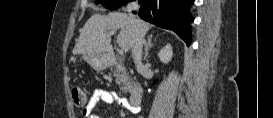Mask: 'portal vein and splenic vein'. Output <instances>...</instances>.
Returning <instances> with one entry per match:
<instances>
[{"mask_svg":"<svg viewBox=\"0 0 273 118\" xmlns=\"http://www.w3.org/2000/svg\"><path fill=\"white\" fill-rule=\"evenodd\" d=\"M114 32H115L114 30L111 31V34H114ZM120 47H121V46H120ZM118 52H119V53H123V48L121 47V48L118 50Z\"/></svg>","mask_w":273,"mask_h":118,"instance_id":"portal-vein-and-splenic-vein-1","label":"portal vein and splenic vein"}]
</instances>
